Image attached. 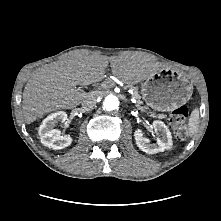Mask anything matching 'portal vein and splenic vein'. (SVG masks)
<instances>
[{"mask_svg":"<svg viewBox=\"0 0 221 221\" xmlns=\"http://www.w3.org/2000/svg\"><path fill=\"white\" fill-rule=\"evenodd\" d=\"M103 87H106V86H108L107 84H103L102 85ZM134 101H135V99H134ZM134 103H136V102H134ZM140 109L142 110V111H144V109L142 108V107H140Z\"/></svg>","mask_w":221,"mask_h":221,"instance_id":"18ae733b","label":"portal vein and splenic vein"}]
</instances>
